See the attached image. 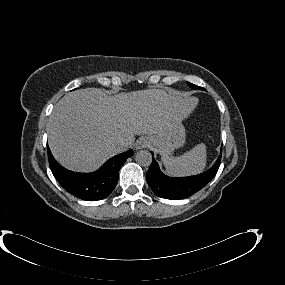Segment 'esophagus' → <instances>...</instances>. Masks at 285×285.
Instances as JSON below:
<instances>
[{
	"instance_id": "obj_1",
	"label": "esophagus",
	"mask_w": 285,
	"mask_h": 285,
	"mask_svg": "<svg viewBox=\"0 0 285 285\" xmlns=\"http://www.w3.org/2000/svg\"><path fill=\"white\" fill-rule=\"evenodd\" d=\"M150 146V141L146 138H141L136 142V149H141Z\"/></svg>"
}]
</instances>
